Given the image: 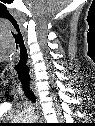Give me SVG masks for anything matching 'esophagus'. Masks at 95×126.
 Here are the masks:
<instances>
[{
    "label": "esophagus",
    "instance_id": "esophagus-1",
    "mask_svg": "<svg viewBox=\"0 0 95 126\" xmlns=\"http://www.w3.org/2000/svg\"><path fill=\"white\" fill-rule=\"evenodd\" d=\"M32 91L36 97V109H37V113L39 115V120L40 122H44V116H43V112H42V107L39 101V95H38V91L35 85H31Z\"/></svg>",
    "mask_w": 95,
    "mask_h": 126
}]
</instances>
